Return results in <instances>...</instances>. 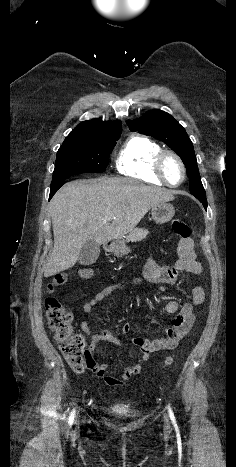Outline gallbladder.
I'll list each match as a JSON object with an SVG mask.
<instances>
[{
  "label": "gallbladder",
  "instance_id": "gallbladder-1",
  "mask_svg": "<svg viewBox=\"0 0 236 467\" xmlns=\"http://www.w3.org/2000/svg\"><path fill=\"white\" fill-rule=\"evenodd\" d=\"M100 254V246L93 240H88L80 250L78 262L81 265H92Z\"/></svg>",
  "mask_w": 236,
  "mask_h": 467
}]
</instances>
